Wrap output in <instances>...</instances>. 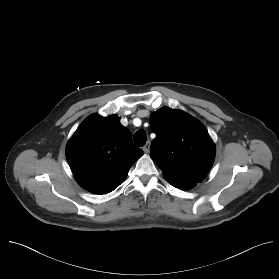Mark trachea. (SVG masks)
I'll return each mask as SVG.
<instances>
[{"mask_svg": "<svg viewBox=\"0 0 279 279\" xmlns=\"http://www.w3.org/2000/svg\"><path fill=\"white\" fill-rule=\"evenodd\" d=\"M146 139V132L144 130H139L134 134V143L139 147L145 145Z\"/></svg>", "mask_w": 279, "mask_h": 279, "instance_id": "1", "label": "trachea"}]
</instances>
